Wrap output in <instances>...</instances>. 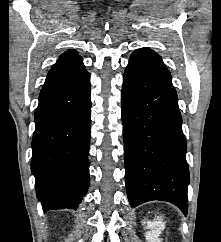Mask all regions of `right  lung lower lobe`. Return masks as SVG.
<instances>
[{
  "label": "right lung lower lobe",
  "mask_w": 221,
  "mask_h": 242,
  "mask_svg": "<svg viewBox=\"0 0 221 242\" xmlns=\"http://www.w3.org/2000/svg\"><path fill=\"white\" fill-rule=\"evenodd\" d=\"M90 77L43 86L35 111L31 170L44 211L76 209L89 185Z\"/></svg>",
  "instance_id": "obj_1"
}]
</instances>
